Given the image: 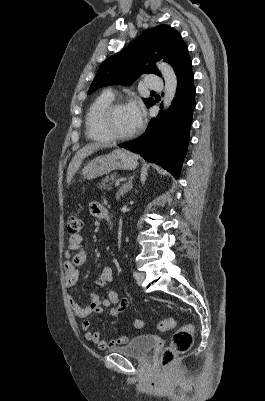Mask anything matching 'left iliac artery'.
<instances>
[{"mask_svg": "<svg viewBox=\"0 0 265 401\" xmlns=\"http://www.w3.org/2000/svg\"><path fill=\"white\" fill-rule=\"evenodd\" d=\"M133 276H134L135 278L137 277V272H136V271L133 272Z\"/></svg>", "mask_w": 265, "mask_h": 401, "instance_id": "left-iliac-artery-1", "label": "left iliac artery"}]
</instances>
